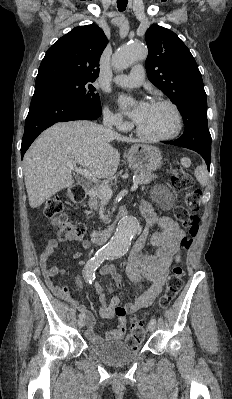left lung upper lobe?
Listing matches in <instances>:
<instances>
[{"instance_id": "5c2ea615", "label": "left lung upper lobe", "mask_w": 232, "mask_h": 399, "mask_svg": "<svg viewBox=\"0 0 232 399\" xmlns=\"http://www.w3.org/2000/svg\"><path fill=\"white\" fill-rule=\"evenodd\" d=\"M148 79L178 107L185 124L181 144L211 150L207 96L197 63L171 30L153 24L146 31Z\"/></svg>"}]
</instances>
